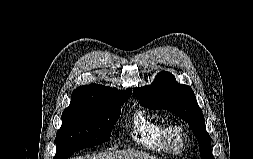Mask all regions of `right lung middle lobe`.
I'll return each mask as SVG.
<instances>
[{
    "mask_svg": "<svg viewBox=\"0 0 253 159\" xmlns=\"http://www.w3.org/2000/svg\"><path fill=\"white\" fill-rule=\"evenodd\" d=\"M127 100L71 102L62 113V126L56 134V155L67 159L75 151L92 147L110 138L113 125Z\"/></svg>",
    "mask_w": 253,
    "mask_h": 159,
    "instance_id": "obj_1",
    "label": "right lung middle lobe"
}]
</instances>
